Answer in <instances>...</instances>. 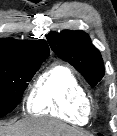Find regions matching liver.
<instances>
[{"label":"liver","instance_id":"obj_1","mask_svg":"<svg viewBox=\"0 0 117 136\" xmlns=\"http://www.w3.org/2000/svg\"><path fill=\"white\" fill-rule=\"evenodd\" d=\"M0 136H91L82 130L46 118H27L0 124Z\"/></svg>","mask_w":117,"mask_h":136}]
</instances>
